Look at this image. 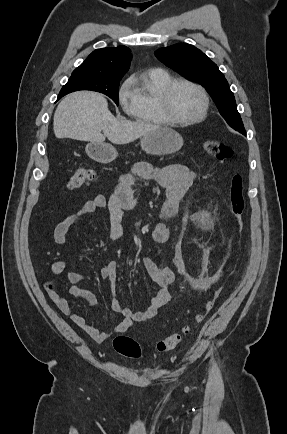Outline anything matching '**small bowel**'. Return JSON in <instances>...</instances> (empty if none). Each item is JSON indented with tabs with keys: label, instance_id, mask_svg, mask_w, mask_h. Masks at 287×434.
Listing matches in <instances>:
<instances>
[{
	"label": "small bowel",
	"instance_id": "c3829d8e",
	"mask_svg": "<svg viewBox=\"0 0 287 434\" xmlns=\"http://www.w3.org/2000/svg\"><path fill=\"white\" fill-rule=\"evenodd\" d=\"M195 177V172L183 164L153 168L147 163L137 162L129 173L120 177L119 185L110 199L107 200L103 195H96L87 200L76 213L59 222L54 230V241L58 246H63L71 228L79 225L84 216L99 209L107 210L109 237L113 240H125L126 231L122 223L124 211L134 208L137 204L134 189L136 182L138 180H148L158 183L166 190V199L160 211V221L152 231L155 242L165 243L171 238V227L167 221L178 213L179 203L193 184ZM141 261L151 282L158 287V290L150 299L148 307L139 312H133L112 296L110 299L111 309L114 313L123 316V319L111 331L99 330L94 320H87L82 315L74 312L68 300L56 292H50V298L62 313L69 316L71 321L82 328L92 339L98 343L106 342L113 334L126 332L136 322L153 319L158 311L172 299L169 287L175 279L173 270L170 267H159L148 257H143ZM117 266L115 260L109 261L100 270L101 278L113 285L117 280ZM51 273L53 275L65 274L67 281L70 283L69 293L82 298L88 304H95V295L77 286L88 280L87 274L66 271V262L64 260L54 261L51 265Z\"/></svg>",
	"mask_w": 287,
	"mask_h": 434
}]
</instances>
